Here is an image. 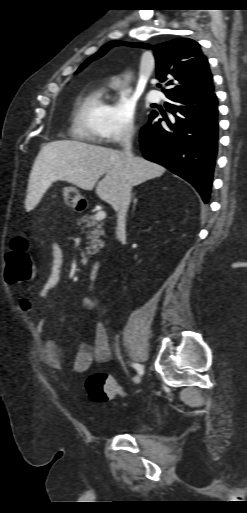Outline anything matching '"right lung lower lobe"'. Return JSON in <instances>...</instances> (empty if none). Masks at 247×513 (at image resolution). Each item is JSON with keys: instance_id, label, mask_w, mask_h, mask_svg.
Returning <instances> with one entry per match:
<instances>
[{"instance_id": "right-lung-lower-lobe-1", "label": "right lung lower lobe", "mask_w": 247, "mask_h": 513, "mask_svg": "<svg viewBox=\"0 0 247 513\" xmlns=\"http://www.w3.org/2000/svg\"><path fill=\"white\" fill-rule=\"evenodd\" d=\"M173 114L167 125L152 112L140 131L146 159L159 163L191 183L205 203L210 197L218 151V101L214 90L201 96L167 97Z\"/></svg>"}]
</instances>
